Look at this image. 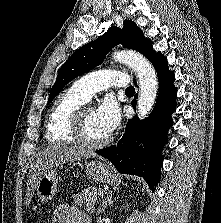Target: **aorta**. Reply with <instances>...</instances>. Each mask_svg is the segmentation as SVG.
I'll return each instance as SVG.
<instances>
[{"mask_svg":"<svg viewBox=\"0 0 221 223\" xmlns=\"http://www.w3.org/2000/svg\"><path fill=\"white\" fill-rule=\"evenodd\" d=\"M115 61L130 66L139 80L137 114L140 119L148 116L157 96L158 81L154 68L149 61L135 51H117L112 54Z\"/></svg>","mask_w":221,"mask_h":223,"instance_id":"obj_1","label":"aorta"}]
</instances>
